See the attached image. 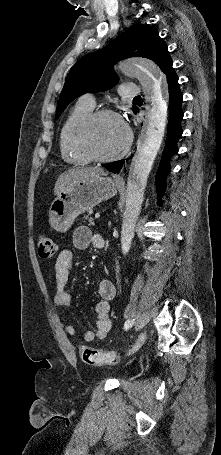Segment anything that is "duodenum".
Returning a JSON list of instances; mask_svg holds the SVG:
<instances>
[{"instance_id": "1", "label": "duodenum", "mask_w": 221, "mask_h": 455, "mask_svg": "<svg viewBox=\"0 0 221 455\" xmlns=\"http://www.w3.org/2000/svg\"><path fill=\"white\" fill-rule=\"evenodd\" d=\"M104 245H105V239H104V238L100 239V240L96 243V247L99 248V249L103 248Z\"/></svg>"}]
</instances>
